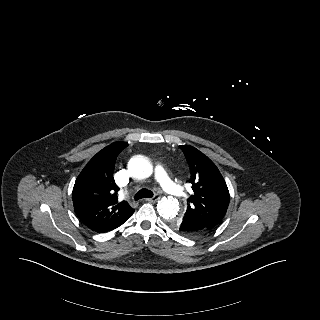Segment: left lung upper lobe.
I'll list each match as a JSON object with an SVG mask.
<instances>
[{"instance_id":"5c2ea615","label":"left lung upper lobe","mask_w":320,"mask_h":320,"mask_svg":"<svg viewBox=\"0 0 320 320\" xmlns=\"http://www.w3.org/2000/svg\"><path fill=\"white\" fill-rule=\"evenodd\" d=\"M180 149L190 167L189 183L193 190L184 217L212 230L223 219L229 205L226 182L216 165L198 149L190 145H182ZM179 220L172 222L173 227H178Z\"/></svg>"}]
</instances>
